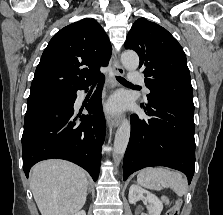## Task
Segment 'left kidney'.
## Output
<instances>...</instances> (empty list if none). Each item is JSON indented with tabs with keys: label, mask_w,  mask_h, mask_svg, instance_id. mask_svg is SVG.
<instances>
[{
	"label": "left kidney",
	"mask_w": 223,
	"mask_h": 215,
	"mask_svg": "<svg viewBox=\"0 0 223 215\" xmlns=\"http://www.w3.org/2000/svg\"><path fill=\"white\" fill-rule=\"evenodd\" d=\"M139 199H144V201H148L149 205L147 207L149 211V215H160L163 209V203L160 201L157 195L154 193H150L147 189H143L140 185H130L129 189V203H135V201H139Z\"/></svg>",
	"instance_id": "5707ae66"
}]
</instances>
